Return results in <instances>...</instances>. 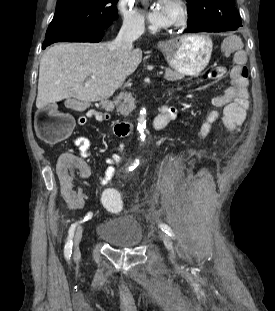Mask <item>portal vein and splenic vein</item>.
Masks as SVG:
<instances>
[{"label":"portal vein and splenic vein","instance_id":"1","mask_svg":"<svg viewBox=\"0 0 275 311\" xmlns=\"http://www.w3.org/2000/svg\"><path fill=\"white\" fill-rule=\"evenodd\" d=\"M158 74H159V75H162V74H163V71H160ZM91 78H94V76H91Z\"/></svg>","mask_w":275,"mask_h":311}]
</instances>
